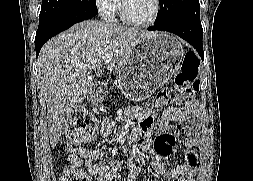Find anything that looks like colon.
I'll return each mask as SVG.
<instances>
[{
	"label": "colon",
	"mask_w": 253,
	"mask_h": 181,
	"mask_svg": "<svg viewBox=\"0 0 253 181\" xmlns=\"http://www.w3.org/2000/svg\"><path fill=\"white\" fill-rule=\"evenodd\" d=\"M199 62L196 56L191 53L186 54L184 63L176 76V85L184 88L185 93L197 91L199 80L197 78ZM172 90L162 91L161 99H167ZM96 131L95 118L85 110L76 111L67 123L65 130L66 137L75 143L88 141ZM61 181H88L87 177L76 171L74 168L67 169L61 176Z\"/></svg>",
	"instance_id": "5ec220e1"
}]
</instances>
